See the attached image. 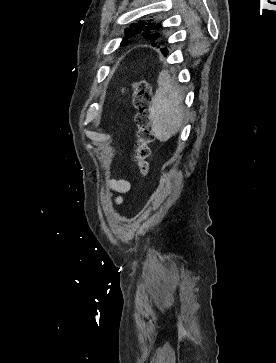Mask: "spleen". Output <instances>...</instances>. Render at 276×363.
Returning a JSON list of instances; mask_svg holds the SVG:
<instances>
[{"label": "spleen", "instance_id": "3e777b00", "mask_svg": "<svg viewBox=\"0 0 276 363\" xmlns=\"http://www.w3.org/2000/svg\"><path fill=\"white\" fill-rule=\"evenodd\" d=\"M158 86L150 109V119L156 138L167 141L182 126L184 118L182 89L167 70L159 73Z\"/></svg>", "mask_w": 276, "mask_h": 363}]
</instances>
